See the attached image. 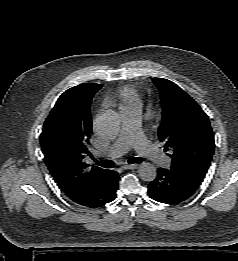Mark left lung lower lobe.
Segmentation results:
<instances>
[{
  "mask_svg": "<svg viewBox=\"0 0 238 261\" xmlns=\"http://www.w3.org/2000/svg\"><path fill=\"white\" fill-rule=\"evenodd\" d=\"M192 182L179 177L171 169H158L156 178L148 185V194L155 201L179 204L188 199L198 188Z\"/></svg>",
  "mask_w": 238,
  "mask_h": 261,
  "instance_id": "1",
  "label": "left lung lower lobe"
}]
</instances>
